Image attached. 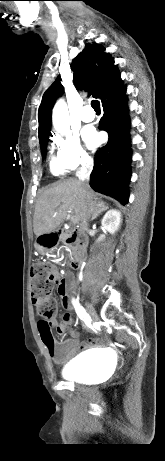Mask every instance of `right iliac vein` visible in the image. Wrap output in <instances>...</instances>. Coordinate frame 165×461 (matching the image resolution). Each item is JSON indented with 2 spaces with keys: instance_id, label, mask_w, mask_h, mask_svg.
I'll return each mask as SVG.
<instances>
[{
  "instance_id": "1",
  "label": "right iliac vein",
  "mask_w": 165,
  "mask_h": 461,
  "mask_svg": "<svg viewBox=\"0 0 165 461\" xmlns=\"http://www.w3.org/2000/svg\"><path fill=\"white\" fill-rule=\"evenodd\" d=\"M86 308H87V311H88L90 317L92 318V320L97 321L98 316H97V313L94 310V308L90 304H87V303H86Z\"/></svg>"
}]
</instances>
